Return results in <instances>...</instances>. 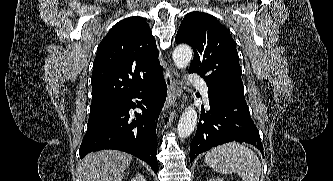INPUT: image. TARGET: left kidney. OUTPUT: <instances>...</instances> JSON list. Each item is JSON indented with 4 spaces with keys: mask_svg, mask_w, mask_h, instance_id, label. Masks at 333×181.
<instances>
[{
    "mask_svg": "<svg viewBox=\"0 0 333 181\" xmlns=\"http://www.w3.org/2000/svg\"><path fill=\"white\" fill-rule=\"evenodd\" d=\"M208 181H225L222 178H210Z\"/></svg>",
    "mask_w": 333,
    "mask_h": 181,
    "instance_id": "1",
    "label": "left kidney"
}]
</instances>
